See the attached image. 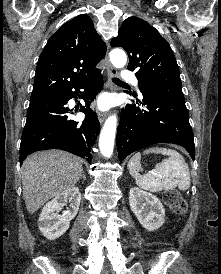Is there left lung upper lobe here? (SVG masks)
<instances>
[{"mask_svg": "<svg viewBox=\"0 0 221 274\" xmlns=\"http://www.w3.org/2000/svg\"><path fill=\"white\" fill-rule=\"evenodd\" d=\"M111 46L127 51V68L136 71L142 95L184 99L174 53L148 22L137 17L127 18L118 36L112 39Z\"/></svg>", "mask_w": 221, "mask_h": 274, "instance_id": "obj_1", "label": "left lung upper lobe"}]
</instances>
